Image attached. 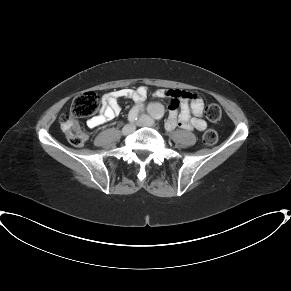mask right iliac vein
<instances>
[{
	"mask_svg": "<svg viewBox=\"0 0 291 291\" xmlns=\"http://www.w3.org/2000/svg\"><path fill=\"white\" fill-rule=\"evenodd\" d=\"M135 129H136V126L134 124H127L126 126L123 127L122 134L123 135L131 134L135 131Z\"/></svg>",
	"mask_w": 291,
	"mask_h": 291,
	"instance_id": "1",
	"label": "right iliac vein"
}]
</instances>
